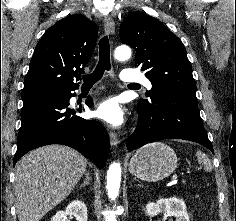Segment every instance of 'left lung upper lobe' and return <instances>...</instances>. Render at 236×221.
Returning <instances> with one entry per match:
<instances>
[{
	"label": "left lung upper lobe",
	"instance_id": "1",
	"mask_svg": "<svg viewBox=\"0 0 236 221\" xmlns=\"http://www.w3.org/2000/svg\"><path fill=\"white\" fill-rule=\"evenodd\" d=\"M122 43L136 50V66L146 71L152 89L150 98L161 92L195 95L196 83L182 41L158 19L140 12L127 16L120 28ZM147 102L140 100L138 102Z\"/></svg>",
	"mask_w": 236,
	"mask_h": 221
}]
</instances>
